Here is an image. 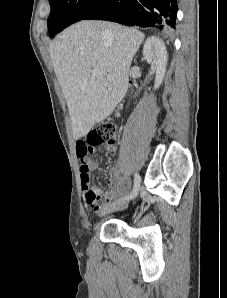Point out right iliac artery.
Listing matches in <instances>:
<instances>
[{
	"label": "right iliac artery",
	"instance_id": "right-iliac-artery-1",
	"mask_svg": "<svg viewBox=\"0 0 227 298\" xmlns=\"http://www.w3.org/2000/svg\"><path fill=\"white\" fill-rule=\"evenodd\" d=\"M140 182H141V179H140L139 174L135 173V175H134V186H133V190L130 193V195H128V196H126L124 198L125 200L132 199V198H134L138 194L139 187H140Z\"/></svg>",
	"mask_w": 227,
	"mask_h": 298
}]
</instances>
